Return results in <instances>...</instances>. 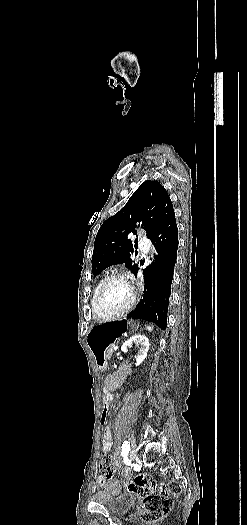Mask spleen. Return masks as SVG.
<instances>
[{
  "instance_id": "obj_1",
  "label": "spleen",
  "mask_w": 247,
  "mask_h": 525,
  "mask_svg": "<svg viewBox=\"0 0 247 525\" xmlns=\"http://www.w3.org/2000/svg\"><path fill=\"white\" fill-rule=\"evenodd\" d=\"M146 329H147V331H150V333H151V331H153V327H146Z\"/></svg>"
}]
</instances>
